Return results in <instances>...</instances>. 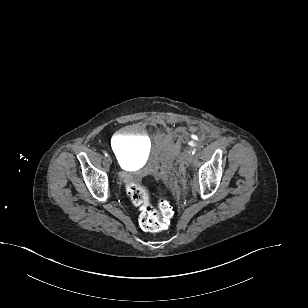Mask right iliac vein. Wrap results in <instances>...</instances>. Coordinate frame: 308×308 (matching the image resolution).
<instances>
[{"label": "right iliac vein", "mask_w": 308, "mask_h": 308, "mask_svg": "<svg viewBox=\"0 0 308 308\" xmlns=\"http://www.w3.org/2000/svg\"><path fill=\"white\" fill-rule=\"evenodd\" d=\"M107 160L111 163L112 162V158L110 156L107 157Z\"/></svg>", "instance_id": "1"}]
</instances>
